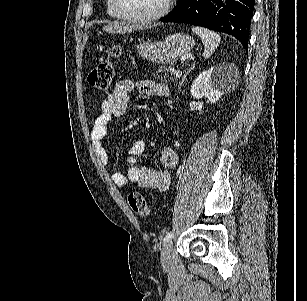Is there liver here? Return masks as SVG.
<instances>
[{
	"label": "liver",
	"instance_id": "obj_1",
	"mask_svg": "<svg viewBox=\"0 0 307 301\" xmlns=\"http://www.w3.org/2000/svg\"><path fill=\"white\" fill-rule=\"evenodd\" d=\"M151 26H145V24H127V22H118V20H113L109 24L103 26L105 32H112V34H123V32H134V30H144V28H152Z\"/></svg>",
	"mask_w": 307,
	"mask_h": 301
}]
</instances>
